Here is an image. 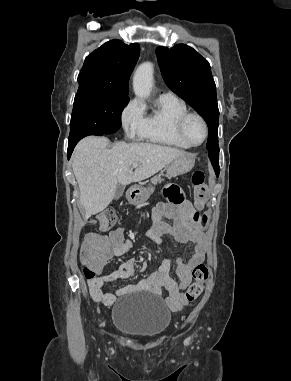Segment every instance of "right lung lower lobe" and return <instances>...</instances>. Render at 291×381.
Here are the masks:
<instances>
[{"label":"right lung lower lobe","mask_w":291,"mask_h":381,"mask_svg":"<svg viewBox=\"0 0 291 381\" xmlns=\"http://www.w3.org/2000/svg\"><path fill=\"white\" fill-rule=\"evenodd\" d=\"M77 143L78 142H68V152H67L68 159L71 157L73 149H74V147L76 146Z\"/></svg>","instance_id":"1"}]
</instances>
